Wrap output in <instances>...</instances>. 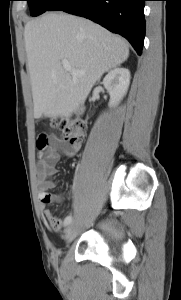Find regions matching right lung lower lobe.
I'll list each match as a JSON object with an SVG mask.
<instances>
[{
  "label": "right lung lower lobe",
  "mask_w": 181,
  "mask_h": 300,
  "mask_svg": "<svg viewBox=\"0 0 181 300\" xmlns=\"http://www.w3.org/2000/svg\"><path fill=\"white\" fill-rule=\"evenodd\" d=\"M147 0H60L53 10L88 18L125 37L138 55L145 37L144 3Z\"/></svg>",
  "instance_id": "obj_1"
}]
</instances>
